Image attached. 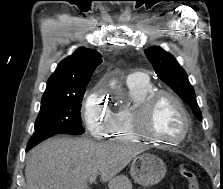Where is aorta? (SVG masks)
Here are the masks:
<instances>
[{
    "mask_svg": "<svg viewBox=\"0 0 223 189\" xmlns=\"http://www.w3.org/2000/svg\"><path fill=\"white\" fill-rule=\"evenodd\" d=\"M111 85L114 86L115 85V82H112Z\"/></svg>",
    "mask_w": 223,
    "mask_h": 189,
    "instance_id": "obj_1",
    "label": "aorta"
}]
</instances>
